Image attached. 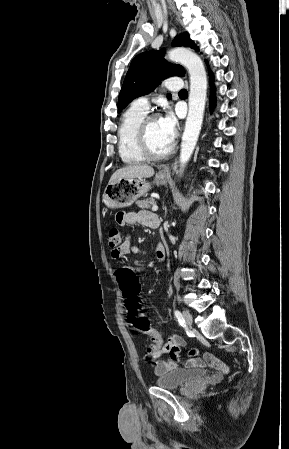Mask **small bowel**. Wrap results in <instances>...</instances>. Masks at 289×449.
Returning a JSON list of instances; mask_svg holds the SVG:
<instances>
[{"label":"small bowel","mask_w":289,"mask_h":449,"mask_svg":"<svg viewBox=\"0 0 289 449\" xmlns=\"http://www.w3.org/2000/svg\"><path fill=\"white\" fill-rule=\"evenodd\" d=\"M117 222L121 226L140 224L149 228H157L159 226V218L155 214L147 211L141 212H120L117 215ZM129 254L146 255L147 252L142 250L135 244H133L128 237L122 245L111 251V256L113 259H119L122 256ZM155 255L158 259L162 260L165 257L164 248L162 245H158ZM119 282V280H118ZM186 346L185 340L179 335H172L169 337L166 343H164L163 348L165 352H160L155 356L154 372L157 375H162L178 367L184 368L187 366L190 369L199 367L201 369L209 368L215 369L219 372L226 373L228 367L222 363L217 356H214L213 352L208 351L203 354L197 347H194L189 353L177 356L181 353L182 349ZM166 354V356L171 357L168 360H160V357ZM185 360L186 362L182 361Z\"/></svg>","instance_id":"obj_1"}]
</instances>
